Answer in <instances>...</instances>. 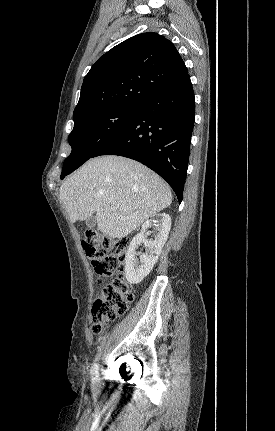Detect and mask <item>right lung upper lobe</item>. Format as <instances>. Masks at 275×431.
Instances as JSON below:
<instances>
[{"mask_svg":"<svg viewBox=\"0 0 275 431\" xmlns=\"http://www.w3.org/2000/svg\"><path fill=\"white\" fill-rule=\"evenodd\" d=\"M187 74L181 56L168 39L153 32L133 36L91 67L73 120L112 107H139Z\"/></svg>","mask_w":275,"mask_h":431,"instance_id":"cb5924a9","label":"right lung upper lobe"}]
</instances>
